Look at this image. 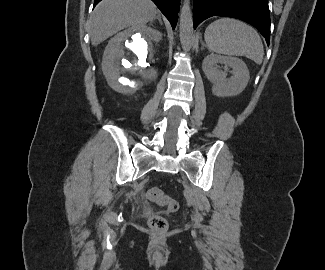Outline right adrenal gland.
<instances>
[{"instance_id": "2a0ac1e0", "label": "right adrenal gland", "mask_w": 325, "mask_h": 270, "mask_svg": "<svg viewBox=\"0 0 325 270\" xmlns=\"http://www.w3.org/2000/svg\"><path fill=\"white\" fill-rule=\"evenodd\" d=\"M155 19H158L161 25L163 24V23H162V20H161V17H160L159 15H157L153 20H151V23H153V21H154Z\"/></svg>"}]
</instances>
